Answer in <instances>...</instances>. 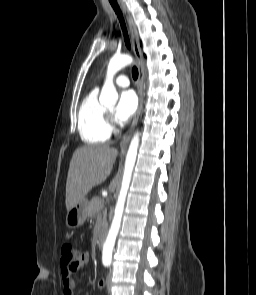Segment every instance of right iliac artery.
<instances>
[{"label": "right iliac artery", "instance_id": "82829eb1", "mask_svg": "<svg viewBox=\"0 0 256 295\" xmlns=\"http://www.w3.org/2000/svg\"><path fill=\"white\" fill-rule=\"evenodd\" d=\"M104 265L107 266L108 264L107 263H104Z\"/></svg>", "mask_w": 256, "mask_h": 295}]
</instances>
